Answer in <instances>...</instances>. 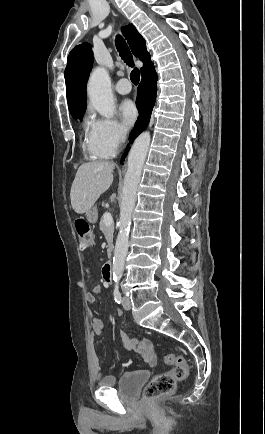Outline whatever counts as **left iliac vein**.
Masks as SVG:
<instances>
[{
	"label": "left iliac vein",
	"mask_w": 265,
	"mask_h": 434,
	"mask_svg": "<svg viewBox=\"0 0 265 434\" xmlns=\"http://www.w3.org/2000/svg\"><path fill=\"white\" fill-rule=\"evenodd\" d=\"M122 305H123V308L125 310H130L131 309V301H130V299L127 296L123 297Z\"/></svg>",
	"instance_id": "1"
}]
</instances>
